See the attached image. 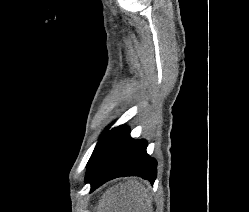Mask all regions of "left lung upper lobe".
Segmentation results:
<instances>
[{
	"label": "left lung upper lobe",
	"mask_w": 249,
	"mask_h": 212,
	"mask_svg": "<svg viewBox=\"0 0 249 212\" xmlns=\"http://www.w3.org/2000/svg\"><path fill=\"white\" fill-rule=\"evenodd\" d=\"M104 135H105V132H104V134L101 135L100 140L102 139V137H103ZM100 140H99V142H100ZM99 142H98V143H99ZM97 145H98V144H97ZM97 145H96V147H97Z\"/></svg>",
	"instance_id": "5c2ea615"
}]
</instances>
